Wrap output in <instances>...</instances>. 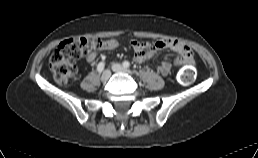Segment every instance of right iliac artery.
I'll use <instances>...</instances> for the list:
<instances>
[{
  "mask_svg": "<svg viewBox=\"0 0 258 158\" xmlns=\"http://www.w3.org/2000/svg\"><path fill=\"white\" fill-rule=\"evenodd\" d=\"M104 67H105L104 62H100V63L97 65V71H98L99 73H101V72L104 70Z\"/></svg>",
  "mask_w": 258,
  "mask_h": 158,
  "instance_id": "obj_1",
  "label": "right iliac artery"
}]
</instances>
